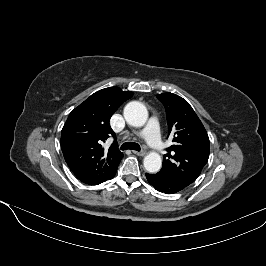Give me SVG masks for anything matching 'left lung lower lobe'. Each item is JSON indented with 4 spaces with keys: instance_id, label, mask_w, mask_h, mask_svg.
I'll list each match as a JSON object with an SVG mask.
<instances>
[{
    "instance_id": "left-lung-lower-lobe-1",
    "label": "left lung lower lobe",
    "mask_w": 266,
    "mask_h": 266,
    "mask_svg": "<svg viewBox=\"0 0 266 266\" xmlns=\"http://www.w3.org/2000/svg\"><path fill=\"white\" fill-rule=\"evenodd\" d=\"M146 178L154 188L160 192L166 193V194H172L181 191L184 189V187H181L167 178L163 177L160 174H148L146 173Z\"/></svg>"
}]
</instances>
